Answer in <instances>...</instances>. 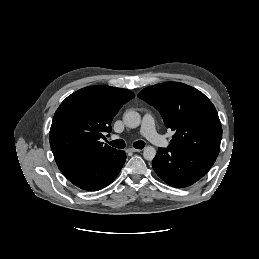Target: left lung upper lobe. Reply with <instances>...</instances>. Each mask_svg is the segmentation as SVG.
I'll list each match as a JSON object with an SVG mask.
<instances>
[{
    "instance_id": "5c2ea615",
    "label": "left lung upper lobe",
    "mask_w": 259,
    "mask_h": 259,
    "mask_svg": "<svg viewBox=\"0 0 259 259\" xmlns=\"http://www.w3.org/2000/svg\"><path fill=\"white\" fill-rule=\"evenodd\" d=\"M138 97L154 106L175 134L169 147L179 152L218 155L222 127L212 102L199 90L178 82L143 89Z\"/></svg>"
}]
</instances>
